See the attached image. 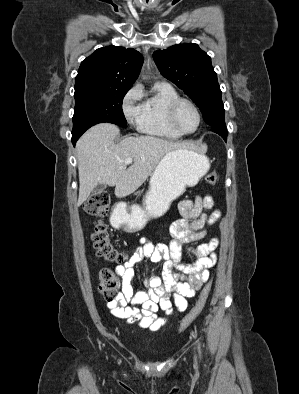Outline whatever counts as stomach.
I'll return each instance as SVG.
<instances>
[{"label": "stomach", "mask_w": 299, "mask_h": 394, "mask_svg": "<svg viewBox=\"0 0 299 394\" xmlns=\"http://www.w3.org/2000/svg\"><path fill=\"white\" fill-rule=\"evenodd\" d=\"M209 168V160L203 154L187 148L168 152L151 175L143 207L132 205L129 212L123 211L126 230H141L150 218L162 216L171 202L182 195L187 186L196 185Z\"/></svg>", "instance_id": "1"}]
</instances>
